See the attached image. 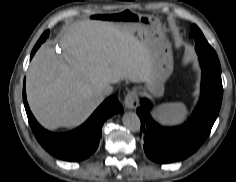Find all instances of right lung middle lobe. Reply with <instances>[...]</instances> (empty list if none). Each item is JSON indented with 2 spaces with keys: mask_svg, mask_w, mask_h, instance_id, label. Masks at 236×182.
<instances>
[{
  "mask_svg": "<svg viewBox=\"0 0 236 182\" xmlns=\"http://www.w3.org/2000/svg\"><path fill=\"white\" fill-rule=\"evenodd\" d=\"M48 34H49V31L44 32L37 43L42 44L46 40V37L48 36Z\"/></svg>",
  "mask_w": 236,
  "mask_h": 182,
  "instance_id": "obj_1",
  "label": "right lung middle lobe"
}]
</instances>
